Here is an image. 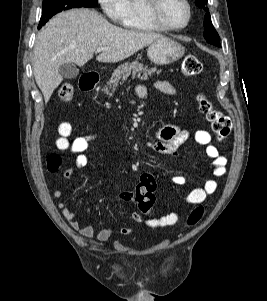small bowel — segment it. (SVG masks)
Segmentation results:
<instances>
[{"label": "small bowel", "mask_w": 267, "mask_h": 301, "mask_svg": "<svg viewBox=\"0 0 267 301\" xmlns=\"http://www.w3.org/2000/svg\"><path fill=\"white\" fill-rule=\"evenodd\" d=\"M156 89L167 95H177V90L173 85L167 81H157L155 83ZM136 94L139 97H145L147 94V88L144 85L136 86ZM73 133L72 125L69 122H61L57 127V138L55 144L60 150H68L75 156V166L78 169H83L88 164V158L85 155V151L89 145L96 140V135H83L70 140L69 137ZM190 134L187 130L180 127L169 124L159 128L154 137L146 142V145L153 151L163 154L177 156L178 150L189 138ZM194 141L201 146L205 147V154L213 164V174L216 177H222L226 173L227 158L220 154L218 148L212 143V135L206 130H199L194 134ZM74 170L67 168L63 171V176L67 179L72 178ZM172 182L177 185H183L186 183L185 177L181 175L172 176ZM217 182L214 179L207 180L202 187L193 189L187 196V202L190 204L202 203L209 195H212L217 190ZM62 191L56 189L53 192V198L57 201V206L68 221L70 226L78 231L83 237L91 238L94 236V228L90 225L83 226L76 219V215L72 212L62 201ZM117 199L121 202L135 201V195L132 191H121L117 195ZM132 219L140 222L141 216L138 213H132ZM179 216L177 213H171L157 219H150L146 223L151 227H165L172 226L178 222ZM114 232L113 227H106L101 229L97 233V239L101 242L107 241ZM120 234L127 235L131 232L128 227L120 229Z\"/></svg>", "instance_id": "1"}]
</instances>
